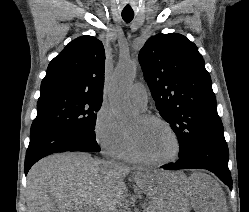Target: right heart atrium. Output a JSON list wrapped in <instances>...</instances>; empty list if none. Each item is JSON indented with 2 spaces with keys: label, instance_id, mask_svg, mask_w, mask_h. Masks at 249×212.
Returning a JSON list of instances; mask_svg holds the SVG:
<instances>
[{
  "label": "right heart atrium",
  "instance_id": "d8ad5b80",
  "mask_svg": "<svg viewBox=\"0 0 249 212\" xmlns=\"http://www.w3.org/2000/svg\"><path fill=\"white\" fill-rule=\"evenodd\" d=\"M93 134L96 143L107 157L114 160L124 158L128 150L127 136L108 104H102L97 110Z\"/></svg>",
  "mask_w": 249,
  "mask_h": 212
}]
</instances>
